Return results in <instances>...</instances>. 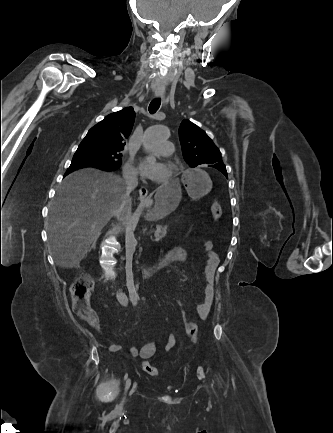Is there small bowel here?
I'll list each match as a JSON object with an SVG mask.
<instances>
[{
  "mask_svg": "<svg viewBox=\"0 0 333 433\" xmlns=\"http://www.w3.org/2000/svg\"><path fill=\"white\" fill-rule=\"evenodd\" d=\"M204 249L206 252V264L205 271L207 275H212L220 262L219 255L212 250V243L210 241L204 242ZM171 257L180 262H186L188 258L187 250L179 247L171 252ZM214 300V291L211 284H206L204 289L203 299L196 305V313L202 318L206 319L209 317L213 305ZM181 302V301H180ZM180 309H184L183 305ZM192 322V321H191ZM92 327L96 334H101L100 325L97 319H95L92 323ZM191 325H196L191 323ZM186 326V325H185ZM186 330V329H185ZM189 334L191 330H186ZM98 343V342H97ZM175 345V336L174 334H170L167 338V342L165 345V350L169 351ZM109 352H117L120 350V345L115 342H109L107 346H105ZM156 352V344L154 339H149L146 343H144L141 347L133 346L130 349V353L132 357H140L143 360L150 359Z\"/></svg>",
  "mask_w": 333,
  "mask_h": 433,
  "instance_id": "1",
  "label": "small bowel"
}]
</instances>
